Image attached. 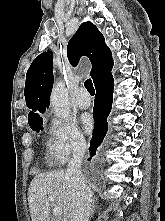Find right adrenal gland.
Here are the masks:
<instances>
[{
  "label": "right adrenal gland",
  "mask_w": 165,
  "mask_h": 221,
  "mask_svg": "<svg viewBox=\"0 0 165 221\" xmlns=\"http://www.w3.org/2000/svg\"><path fill=\"white\" fill-rule=\"evenodd\" d=\"M95 208H96V199L94 198L92 201L91 215H93V213L95 212Z\"/></svg>",
  "instance_id": "obj_1"
}]
</instances>
